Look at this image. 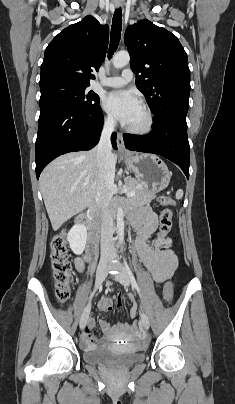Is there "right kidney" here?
Returning <instances> with one entry per match:
<instances>
[{
  "instance_id": "obj_1",
  "label": "right kidney",
  "mask_w": 235,
  "mask_h": 404,
  "mask_svg": "<svg viewBox=\"0 0 235 404\" xmlns=\"http://www.w3.org/2000/svg\"><path fill=\"white\" fill-rule=\"evenodd\" d=\"M67 239L70 244L71 250L80 255L83 253L87 240V229L84 225H74L68 235Z\"/></svg>"
}]
</instances>
